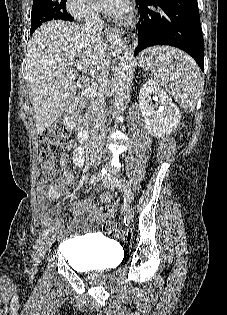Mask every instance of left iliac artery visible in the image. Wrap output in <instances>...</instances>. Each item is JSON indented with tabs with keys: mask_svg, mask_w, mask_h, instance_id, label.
Wrapping results in <instances>:
<instances>
[{
	"mask_svg": "<svg viewBox=\"0 0 227 315\" xmlns=\"http://www.w3.org/2000/svg\"><path fill=\"white\" fill-rule=\"evenodd\" d=\"M108 180L113 182L114 185H116V186H122V190L124 192V197H125L126 202H131L133 200V198H134L133 193L128 192L127 182L125 180H123V182H122L120 179L111 176L109 173H108Z\"/></svg>",
	"mask_w": 227,
	"mask_h": 315,
	"instance_id": "left-iliac-artery-1",
	"label": "left iliac artery"
}]
</instances>
